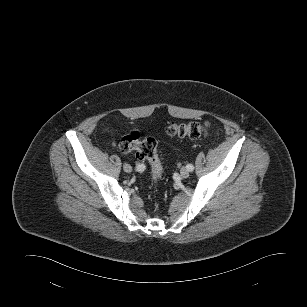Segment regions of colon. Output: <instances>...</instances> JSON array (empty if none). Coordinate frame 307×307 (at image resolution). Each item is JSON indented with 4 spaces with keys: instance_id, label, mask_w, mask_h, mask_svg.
<instances>
[{
    "instance_id": "1",
    "label": "colon",
    "mask_w": 307,
    "mask_h": 307,
    "mask_svg": "<svg viewBox=\"0 0 307 307\" xmlns=\"http://www.w3.org/2000/svg\"><path fill=\"white\" fill-rule=\"evenodd\" d=\"M207 123H171L167 127L170 136L189 137L197 139L208 134ZM122 153L134 152L137 159L147 161L152 168V179L155 184L162 178V165L157 155V143L153 138H141L139 133L131 132L125 135L119 144Z\"/></svg>"
}]
</instances>
